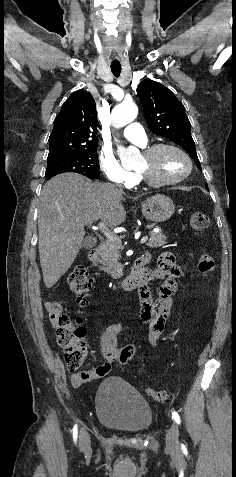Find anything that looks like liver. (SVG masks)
Segmentation results:
<instances>
[{
  "label": "liver",
  "instance_id": "obj_1",
  "mask_svg": "<svg viewBox=\"0 0 236 477\" xmlns=\"http://www.w3.org/2000/svg\"><path fill=\"white\" fill-rule=\"evenodd\" d=\"M122 191L91 182L75 173L60 174L42 188L39 210V256L47 288L54 286L74 262L84 227L101 220L116 227L126 219Z\"/></svg>",
  "mask_w": 236,
  "mask_h": 477
}]
</instances>
